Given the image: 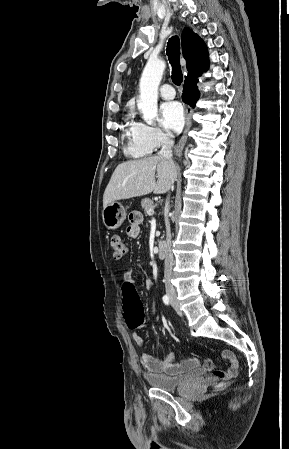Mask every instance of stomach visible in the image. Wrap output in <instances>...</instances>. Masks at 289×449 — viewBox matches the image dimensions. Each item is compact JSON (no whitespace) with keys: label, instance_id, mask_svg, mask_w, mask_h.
<instances>
[{"label":"stomach","instance_id":"1","mask_svg":"<svg viewBox=\"0 0 289 449\" xmlns=\"http://www.w3.org/2000/svg\"><path fill=\"white\" fill-rule=\"evenodd\" d=\"M126 215L124 206L121 203L114 201L103 208V223L108 229H117L124 222Z\"/></svg>","mask_w":289,"mask_h":449}]
</instances>
